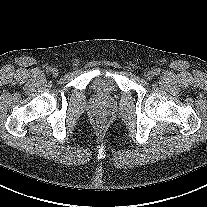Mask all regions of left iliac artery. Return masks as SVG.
Instances as JSON below:
<instances>
[{"label": "left iliac artery", "instance_id": "1", "mask_svg": "<svg viewBox=\"0 0 207 207\" xmlns=\"http://www.w3.org/2000/svg\"><path fill=\"white\" fill-rule=\"evenodd\" d=\"M154 73H155L156 75H159V74H160V69H155V70H154Z\"/></svg>", "mask_w": 207, "mask_h": 207}]
</instances>
